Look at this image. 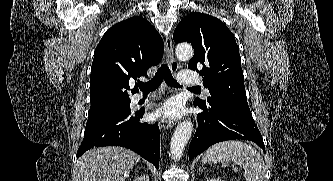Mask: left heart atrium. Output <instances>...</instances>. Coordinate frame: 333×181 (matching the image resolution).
<instances>
[{
  "mask_svg": "<svg viewBox=\"0 0 333 181\" xmlns=\"http://www.w3.org/2000/svg\"><path fill=\"white\" fill-rule=\"evenodd\" d=\"M182 115V106L177 100H169L159 108L156 112V116L177 119Z\"/></svg>",
  "mask_w": 333,
  "mask_h": 181,
  "instance_id": "1",
  "label": "left heart atrium"
}]
</instances>
